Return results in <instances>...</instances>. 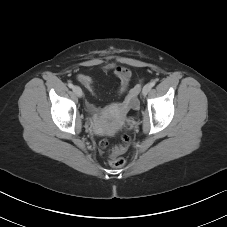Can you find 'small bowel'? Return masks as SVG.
<instances>
[{
    "label": "small bowel",
    "mask_w": 227,
    "mask_h": 227,
    "mask_svg": "<svg viewBox=\"0 0 227 227\" xmlns=\"http://www.w3.org/2000/svg\"><path fill=\"white\" fill-rule=\"evenodd\" d=\"M110 68L114 70L116 77L120 81L119 92L125 93L128 90L129 85H130V81H131V77H132L131 71L128 68L123 67V66H114V67H110ZM77 79L89 91H91V92L94 91L93 81L89 76H87L85 74H79L77 76ZM131 94H133V91L131 92Z\"/></svg>",
    "instance_id": "small-bowel-1"
}]
</instances>
